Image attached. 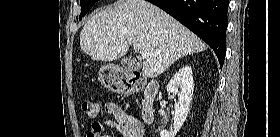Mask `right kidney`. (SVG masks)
Segmentation results:
<instances>
[{
	"mask_svg": "<svg viewBox=\"0 0 280 137\" xmlns=\"http://www.w3.org/2000/svg\"><path fill=\"white\" fill-rule=\"evenodd\" d=\"M167 92L178 95V102L174 107V130H163L161 137H175L187 118L192 102L194 81L190 66H183L175 73L167 85Z\"/></svg>",
	"mask_w": 280,
	"mask_h": 137,
	"instance_id": "ca27d5eb",
	"label": "right kidney"
}]
</instances>
